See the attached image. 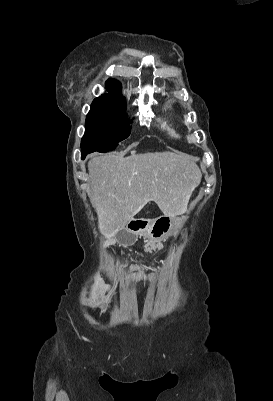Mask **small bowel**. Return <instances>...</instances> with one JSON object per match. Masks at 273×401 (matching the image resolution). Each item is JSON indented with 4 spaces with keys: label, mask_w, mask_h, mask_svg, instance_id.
I'll return each instance as SVG.
<instances>
[{
    "label": "small bowel",
    "mask_w": 273,
    "mask_h": 401,
    "mask_svg": "<svg viewBox=\"0 0 273 401\" xmlns=\"http://www.w3.org/2000/svg\"><path fill=\"white\" fill-rule=\"evenodd\" d=\"M129 271L132 273L131 278L126 282L122 295L126 298L131 290L133 283L142 282L147 280H156L158 274L151 268V266L145 263H135L128 266ZM95 286L92 289V295H96L98 292H105V296L98 299V306L104 312H110L115 309L113 301L115 300L117 293L115 288L104 280L101 276L100 270L97 269L94 276Z\"/></svg>",
    "instance_id": "1"
}]
</instances>
